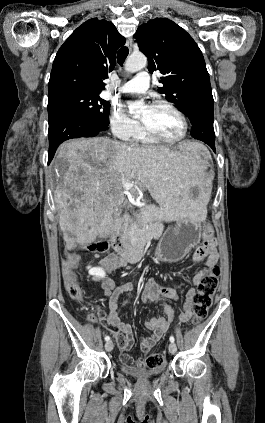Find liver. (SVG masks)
I'll return each mask as SVG.
<instances>
[{
    "label": "liver",
    "mask_w": 265,
    "mask_h": 423,
    "mask_svg": "<svg viewBox=\"0 0 265 423\" xmlns=\"http://www.w3.org/2000/svg\"><path fill=\"white\" fill-rule=\"evenodd\" d=\"M195 143L177 149L163 145H127L106 137L69 140L58 148L54 168L61 183L54 192L59 226L69 248L90 244L116 232L122 218L118 208L125 199L123 185L132 193L148 190L159 208L148 205L147 217L167 222L183 216L200 220V209L189 188L203 179L199 165L186 153Z\"/></svg>",
    "instance_id": "1"
}]
</instances>
